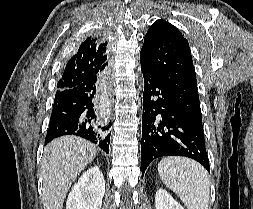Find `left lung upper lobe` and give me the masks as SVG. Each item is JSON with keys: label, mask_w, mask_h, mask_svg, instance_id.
<instances>
[{"label": "left lung upper lobe", "mask_w": 253, "mask_h": 209, "mask_svg": "<svg viewBox=\"0 0 253 209\" xmlns=\"http://www.w3.org/2000/svg\"><path fill=\"white\" fill-rule=\"evenodd\" d=\"M140 61L169 88L184 114L202 126L193 60L180 31L164 20L155 21L144 37Z\"/></svg>", "instance_id": "1"}]
</instances>
